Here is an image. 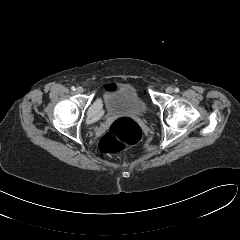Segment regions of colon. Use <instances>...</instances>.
<instances>
[{
  "label": "colon",
  "mask_w": 240,
  "mask_h": 240,
  "mask_svg": "<svg viewBox=\"0 0 240 240\" xmlns=\"http://www.w3.org/2000/svg\"><path fill=\"white\" fill-rule=\"evenodd\" d=\"M141 136L142 130L137 122L130 118H120L99 139L98 148L102 153L113 154L134 146Z\"/></svg>",
  "instance_id": "obj_1"
}]
</instances>
